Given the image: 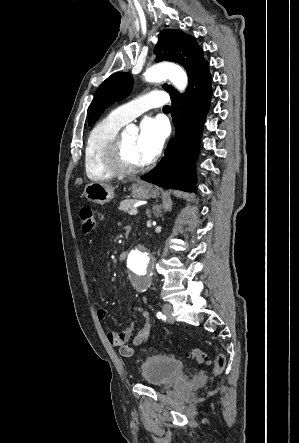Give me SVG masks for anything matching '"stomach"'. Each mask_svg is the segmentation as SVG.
<instances>
[{"label": "stomach", "mask_w": 299, "mask_h": 443, "mask_svg": "<svg viewBox=\"0 0 299 443\" xmlns=\"http://www.w3.org/2000/svg\"><path fill=\"white\" fill-rule=\"evenodd\" d=\"M132 194L135 198L147 199L155 197L157 191L147 183L137 182L132 185ZM84 195L89 201L103 205L114 198V189L107 184L89 183L84 188Z\"/></svg>", "instance_id": "0dacf381"}]
</instances>
